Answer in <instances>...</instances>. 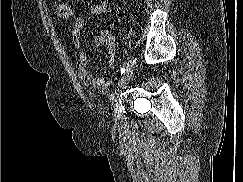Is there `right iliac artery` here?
<instances>
[{"mask_svg":"<svg viewBox=\"0 0 243 182\" xmlns=\"http://www.w3.org/2000/svg\"><path fill=\"white\" fill-rule=\"evenodd\" d=\"M126 66H127V62L125 61L122 65V68H121V75L125 72L126 70Z\"/></svg>","mask_w":243,"mask_h":182,"instance_id":"right-iliac-artery-1","label":"right iliac artery"}]
</instances>
